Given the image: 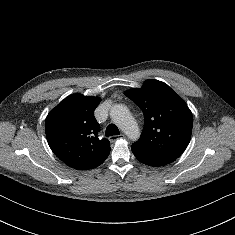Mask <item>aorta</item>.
Returning <instances> with one entry per match:
<instances>
[{
    "mask_svg": "<svg viewBox=\"0 0 235 235\" xmlns=\"http://www.w3.org/2000/svg\"><path fill=\"white\" fill-rule=\"evenodd\" d=\"M110 117L114 123L121 128L131 139L139 136V128L131 116L129 109L123 104H116L110 110Z\"/></svg>",
    "mask_w": 235,
    "mask_h": 235,
    "instance_id": "1",
    "label": "aorta"
}]
</instances>
